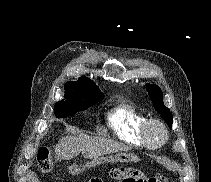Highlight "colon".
<instances>
[{"instance_id":"colon-1","label":"colon","mask_w":211,"mask_h":182,"mask_svg":"<svg viewBox=\"0 0 211 182\" xmlns=\"http://www.w3.org/2000/svg\"><path fill=\"white\" fill-rule=\"evenodd\" d=\"M36 159L38 162L39 169L43 173L51 172L54 164V155L51 150L46 147H41L37 151ZM68 172L73 175H81L83 173V168L77 163H71L67 166ZM113 178L119 181H129V182H166L163 176L156 174L154 176L147 177L143 175L139 170L130 167H117L113 173ZM90 182H102L101 180H91Z\"/></svg>"}]
</instances>
